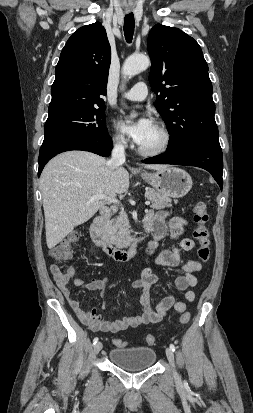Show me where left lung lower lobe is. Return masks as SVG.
Listing matches in <instances>:
<instances>
[{"instance_id": "left-lung-lower-lobe-1", "label": "left lung lower lobe", "mask_w": 253, "mask_h": 413, "mask_svg": "<svg viewBox=\"0 0 253 413\" xmlns=\"http://www.w3.org/2000/svg\"><path fill=\"white\" fill-rule=\"evenodd\" d=\"M146 164H176L196 166L211 173L223 186V158L220 144L197 143L175 151H167L164 154L142 160Z\"/></svg>"}]
</instances>
